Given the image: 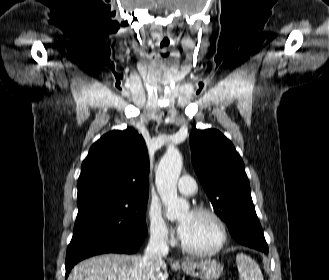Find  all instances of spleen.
<instances>
[{
  "label": "spleen",
  "instance_id": "obj_1",
  "mask_svg": "<svg viewBox=\"0 0 329 280\" xmlns=\"http://www.w3.org/2000/svg\"><path fill=\"white\" fill-rule=\"evenodd\" d=\"M236 263L240 280H264L259 265L250 256L238 253Z\"/></svg>",
  "mask_w": 329,
  "mask_h": 280
}]
</instances>
